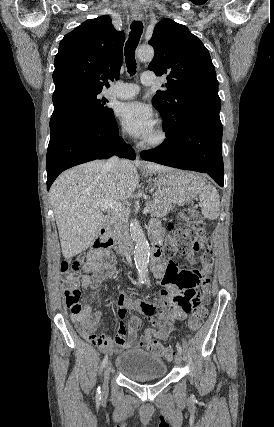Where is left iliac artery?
I'll use <instances>...</instances> for the list:
<instances>
[{
	"mask_svg": "<svg viewBox=\"0 0 274 427\" xmlns=\"http://www.w3.org/2000/svg\"><path fill=\"white\" fill-rule=\"evenodd\" d=\"M146 284H148V283L146 282ZM176 348H177L178 352L180 354H182V347H181V345L179 343L176 344Z\"/></svg>",
	"mask_w": 274,
	"mask_h": 427,
	"instance_id": "obj_1",
	"label": "left iliac artery"
}]
</instances>
